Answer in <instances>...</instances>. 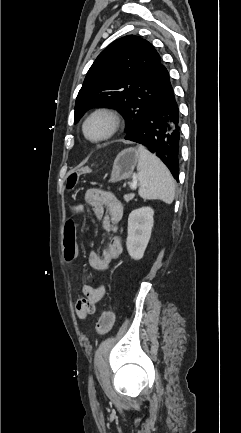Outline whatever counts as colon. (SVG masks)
I'll list each match as a JSON object with an SVG mask.
<instances>
[{"label":"colon","mask_w":241,"mask_h":433,"mask_svg":"<svg viewBox=\"0 0 241 433\" xmlns=\"http://www.w3.org/2000/svg\"><path fill=\"white\" fill-rule=\"evenodd\" d=\"M87 168H72L71 172L67 173L64 177L63 183L66 190H73L74 186H79V177H87ZM76 217H67L65 220L64 231V256L68 262H71L76 257L78 250V236L79 231L76 228ZM115 320L114 312L110 308H106L97 323L96 332L98 335H106L112 328Z\"/></svg>","instance_id":"1"}]
</instances>
